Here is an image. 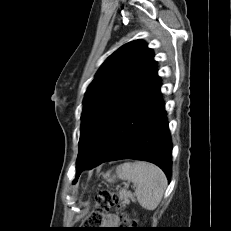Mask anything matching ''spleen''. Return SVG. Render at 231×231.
Returning a JSON list of instances; mask_svg holds the SVG:
<instances>
[{
	"label": "spleen",
	"instance_id": "1",
	"mask_svg": "<svg viewBox=\"0 0 231 231\" xmlns=\"http://www.w3.org/2000/svg\"><path fill=\"white\" fill-rule=\"evenodd\" d=\"M117 174L136 185L135 194L143 208L158 207L167 186V178L159 167L143 161L127 162L117 168Z\"/></svg>",
	"mask_w": 231,
	"mask_h": 231
}]
</instances>
